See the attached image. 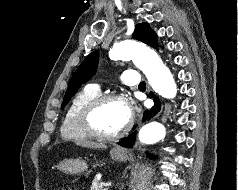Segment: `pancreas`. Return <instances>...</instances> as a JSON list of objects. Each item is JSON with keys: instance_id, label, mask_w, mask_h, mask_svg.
<instances>
[{"instance_id": "pancreas-1", "label": "pancreas", "mask_w": 238, "mask_h": 190, "mask_svg": "<svg viewBox=\"0 0 238 190\" xmlns=\"http://www.w3.org/2000/svg\"><path fill=\"white\" fill-rule=\"evenodd\" d=\"M90 190H107L103 187L102 183L98 178H94Z\"/></svg>"}]
</instances>
